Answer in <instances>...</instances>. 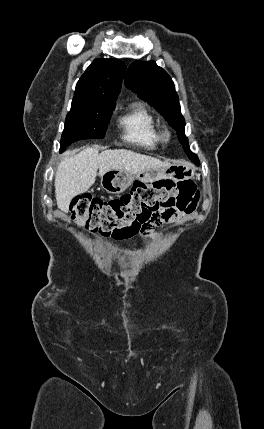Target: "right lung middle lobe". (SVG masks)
<instances>
[{
	"instance_id": "obj_1",
	"label": "right lung middle lobe",
	"mask_w": 264,
	"mask_h": 429,
	"mask_svg": "<svg viewBox=\"0 0 264 429\" xmlns=\"http://www.w3.org/2000/svg\"><path fill=\"white\" fill-rule=\"evenodd\" d=\"M115 102L73 100L61 138L62 152L70 143L104 137Z\"/></svg>"
}]
</instances>
